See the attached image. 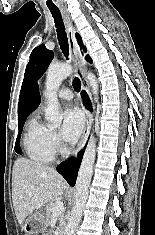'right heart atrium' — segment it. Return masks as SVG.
Returning <instances> with one entry per match:
<instances>
[{
	"mask_svg": "<svg viewBox=\"0 0 155 235\" xmlns=\"http://www.w3.org/2000/svg\"><path fill=\"white\" fill-rule=\"evenodd\" d=\"M48 141H49L51 148L54 150V152H58L62 149V143L56 131L49 129Z\"/></svg>",
	"mask_w": 155,
	"mask_h": 235,
	"instance_id": "d8ad5b80",
	"label": "right heart atrium"
}]
</instances>
